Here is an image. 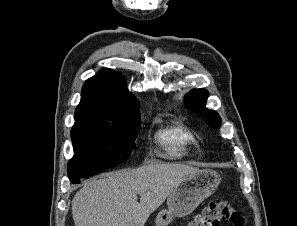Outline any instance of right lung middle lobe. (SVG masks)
<instances>
[{
	"label": "right lung middle lobe",
	"mask_w": 297,
	"mask_h": 226,
	"mask_svg": "<svg viewBox=\"0 0 297 226\" xmlns=\"http://www.w3.org/2000/svg\"><path fill=\"white\" fill-rule=\"evenodd\" d=\"M140 129L138 108L124 110L118 125L74 124L71 138L74 156L68 163L72 183L126 161Z\"/></svg>",
	"instance_id": "obj_1"
}]
</instances>
